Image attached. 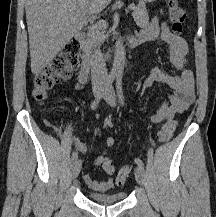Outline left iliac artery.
<instances>
[{"mask_svg":"<svg viewBox=\"0 0 216 217\" xmlns=\"http://www.w3.org/2000/svg\"><path fill=\"white\" fill-rule=\"evenodd\" d=\"M116 89H117V95H118L119 101L122 105H124L125 103H124V94H123V89H122V77L120 75L117 76ZM135 163L140 167H144L143 161L139 158L135 159Z\"/></svg>","mask_w":216,"mask_h":217,"instance_id":"1","label":"left iliac artery"}]
</instances>
